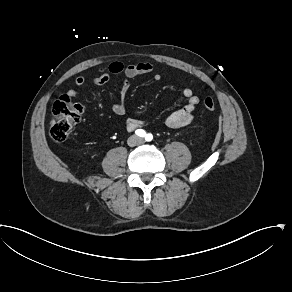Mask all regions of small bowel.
Returning a JSON list of instances; mask_svg holds the SVG:
<instances>
[{
    "mask_svg": "<svg viewBox=\"0 0 292 292\" xmlns=\"http://www.w3.org/2000/svg\"><path fill=\"white\" fill-rule=\"evenodd\" d=\"M152 74L155 81L161 80V75L154 72L153 65L149 62H141L136 64H124L119 61L112 62L107 69H101L100 74L91 78V82L95 85H103L110 80L112 75L122 78L119 89V101L112 105L113 112L122 116L126 112L125 100L128 96L130 85L127 81L129 78H134L141 75ZM75 85L81 87L85 85L86 79L83 76H78L75 81ZM77 92L75 89H69L67 96L74 97ZM183 95L187 99V103L180 109L171 113L165 120V125L171 129H178L186 127L192 123L194 119V112L199 104V97L194 93L191 88H184ZM142 125V122L137 120H129L126 123V127L129 130L138 128Z\"/></svg>",
    "mask_w": 292,
    "mask_h": 292,
    "instance_id": "1",
    "label": "small bowel"
}]
</instances>
